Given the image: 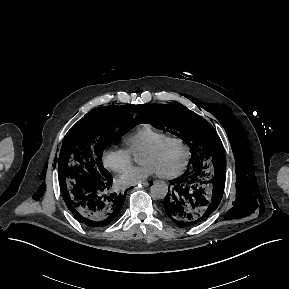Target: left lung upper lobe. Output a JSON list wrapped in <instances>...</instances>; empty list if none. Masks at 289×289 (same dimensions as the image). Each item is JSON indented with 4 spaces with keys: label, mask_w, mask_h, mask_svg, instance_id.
I'll list each match as a JSON object with an SVG mask.
<instances>
[{
    "label": "left lung upper lobe",
    "mask_w": 289,
    "mask_h": 289,
    "mask_svg": "<svg viewBox=\"0 0 289 289\" xmlns=\"http://www.w3.org/2000/svg\"><path fill=\"white\" fill-rule=\"evenodd\" d=\"M139 112L140 122L168 131L187 142L192 155L188 169L212 170L217 164L226 162L221 140L212 125L182 104H143Z\"/></svg>",
    "instance_id": "left-lung-upper-lobe-1"
}]
</instances>
